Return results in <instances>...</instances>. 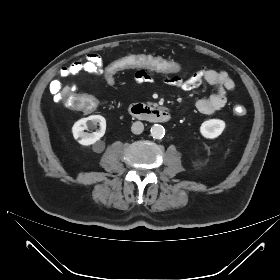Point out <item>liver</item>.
Here are the masks:
<instances>
[{
  "label": "liver",
  "mask_w": 280,
  "mask_h": 280,
  "mask_svg": "<svg viewBox=\"0 0 280 280\" xmlns=\"http://www.w3.org/2000/svg\"><path fill=\"white\" fill-rule=\"evenodd\" d=\"M68 92H69V87L68 86L64 87L63 90H62V94L65 95Z\"/></svg>",
  "instance_id": "obj_1"
}]
</instances>
